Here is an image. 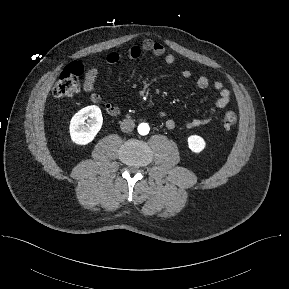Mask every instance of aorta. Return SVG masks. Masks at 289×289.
<instances>
[{
  "mask_svg": "<svg viewBox=\"0 0 289 289\" xmlns=\"http://www.w3.org/2000/svg\"><path fill=\"white\" fill-rule=\"evenodd\" d=\"M149 125L147 123H141L138 126V132L141 135H147L149 133Z\"/></svg>",
  "mask_w": 289,
  "mask_h": 289,
  "instance_id": "aorta-1",
  "label": "aorta"
}]
</instances>
